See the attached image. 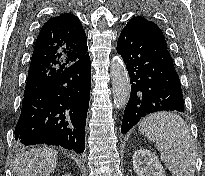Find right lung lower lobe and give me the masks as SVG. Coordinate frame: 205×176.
Returning <instances> with one entry per match:
<instances>
[{
  "instance_id": "obj_1",
  "label": "right lung lower lobe",
  "mask_w": 205,
  "mask_h": 176,
  "mask_svg": "<svg viewBox=\"0 0 205 176\" xmlns=\"http://www.w3.org/2000/svg\"><path fill=\"white\" fill-rule=\"evenodd\" d=\"M89 54L24 95L15 128L19 144L59 145L82 153L89 107Z\"/></svg>"
}]
</instances>
